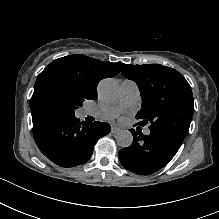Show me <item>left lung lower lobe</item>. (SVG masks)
Listing matches in <instances>:
<instances>
[{
    "mask_svg": "<svg viewBox=\"0 0 219 219\" xmlns=\"http://www.w3.org/2000/svg\"><path fill=\"white\" fill-rule=\"evenodd\" d=\"M133 142L129 147L119 150L121 164L129 171L140 175L157 172L175 156L182 142L160 132L130 130Z\"/></svg>",
    "mask_w": 219,
    "mask_h": 219,
    "instance_id": "0a47b994",
    "label": "left lung lower lobe"
}]
</instances>
